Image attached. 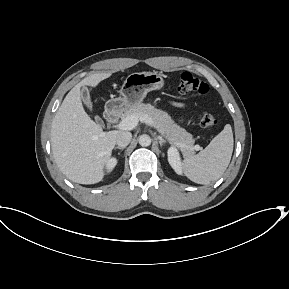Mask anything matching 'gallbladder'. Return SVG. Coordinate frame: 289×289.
<instances>
[{
    "instance_id": "1",
    "label": "gallbladder",
    "mask_w": 289,
    "mask_h": 289,
    "mask_svg": "<svg viewBox=\"0 0 289 289\" xmlns=\"http://www.w3.org/2000/svg\"><path fill=\"white\" fill-rule=\"evenodd\" d=\"M81 97H82L83 101L85 102L86 106L91 108L92 107V103H91V99H90V94H89V91H88V89L86 87L82 88ZM95 120L98 123H102V120L99 117H95Z\"/></svg>"
}]
</instances>
